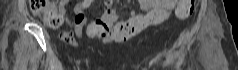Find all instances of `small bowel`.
I'll list each match as a JSON object with an SVG mask.
<instances>
[{
    "instance_id": "c3829d8e",
    "label": "small bowel",
    "mask_w": 238,
    "mask_h": 70,
    "mask_svg": "<svg viewBox=\"0 0 238 70\" xmlns=\"http://www.w3.org/2000/svg\"><path fill=\"white\" fill-rule=\"evenodd\" d=\"M93 0H83L75 8V17L69 31L62 32L60 38L70 45L77 46V40L98 38L104 43L120 42L138 34L148 26L166 20L172 10L176 9L179 0H140L143 13L131 11L130 18L125 22L116 23L118 15L109 2L100 18L88 22L83 14ZM68 0L60 2L59 9L64 14Z\"/></svg>"
}]
</instances>
